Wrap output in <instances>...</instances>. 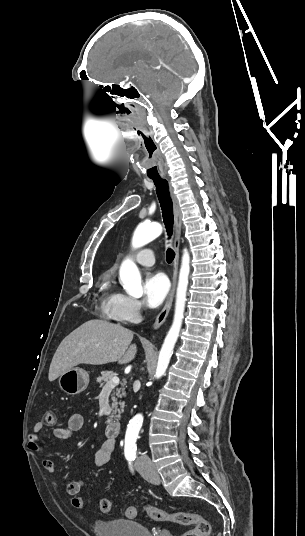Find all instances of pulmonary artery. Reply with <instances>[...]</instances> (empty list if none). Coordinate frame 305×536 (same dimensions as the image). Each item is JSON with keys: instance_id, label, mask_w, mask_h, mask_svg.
Here are the masks:
<instances>
[{"instance_id": "pulmonary-artery-1", "label": "pulmonary artery", "mask_w": 305, "mask_h": 536, "mask_svg": "<svg viewBox=\"0 0 305 536\" xmlns=\"http://www.w3.org/2000/svg\"><path fill=\"white\" fill-rule=\"evenodd\" d=\"M133 260L142 266H152L155 263L154 251L150 247L143 248L133 256Z\"/></svg>"}]
</instances>
